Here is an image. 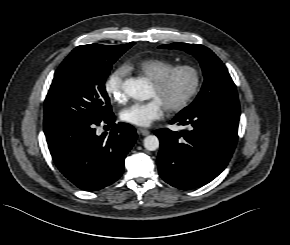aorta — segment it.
Here are the masks:
<instances>
[{"instance_id": "1", "label": "aorta", "mask_w": 290, "mask_h": 245, "mask_svg": "<svg viewBox=\"0 0 290 245\" xmlns=\"http://www.w3.org/2000/svg\"><path fill=\"white\" fill-rule=\"evenodd\" d=\"M124 92L136 99L147 100L150 97V86L145 78H130L123 84ZM144 147L148 151H155L159 148V139L155 135H149L144 139Z\"/></svg>"}]
</instances>
